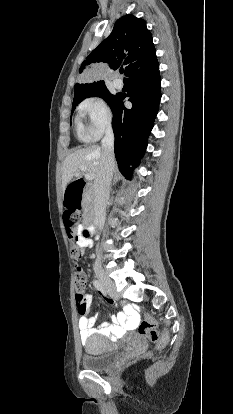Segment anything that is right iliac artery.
<instances>
[{
  "label": "right iliac artery",
  "instance_id": "obj_1",
  "mask_svg": "<svg viewBox=\"0 0 233 414\" xmlns=\"http://www.w3.org/2000/svg\"><path fill=\"white\" fill-rule=\"evenodd\" d=\"M93 285L98 291L103 292L102 284L98 280L94 279L93 280Z\"/></svg>",
  "mask_w": 233,
  "mask_h": 414
}]
</instances>
